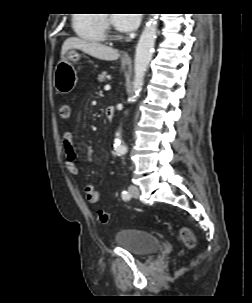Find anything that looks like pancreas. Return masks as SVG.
Instances as JSON below:
<instances>
[{"instance_id":"cf45deb5","label":"pancreas","mask_w":252,"mask_h":303,"mask_svg":"<svg viewBox=\"0 0 252 303\" xmlns=\"http://www.w3.org/2000/svg\"><path fill=\"white\" fill-rule=\"evenodd\" d=\"M106 75H107L106 72H103V73L99 74V75L97 76V80H98L99 82H104L105 79H106Z\"/></svg>"}]
</instances>
